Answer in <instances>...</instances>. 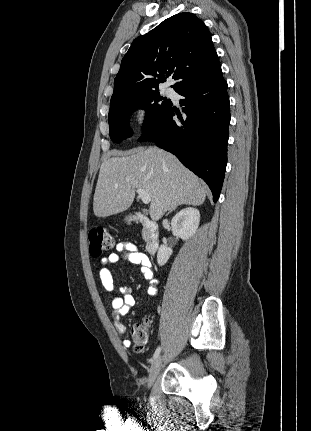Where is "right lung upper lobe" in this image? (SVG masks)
Here are the masks:
<instances>
[{
	"label": "right lung upper lobe",
	"instance_id": "cb5924a9",
	"mask_svg": "<svg viewBox=\"0 0 311 431\" xmlns=\"http://www.w3.org/2000/svg\"><path fill=\"white\" fill-rule=\"evenodd\" d=\"M220 69L203 21L192 13L176 14L133 41L114 80L111 99L158 90L171 75L177 91Z\"/></svg>",
	"mask_w": 311,
	"mask_h": 431
}]
</instances>
